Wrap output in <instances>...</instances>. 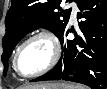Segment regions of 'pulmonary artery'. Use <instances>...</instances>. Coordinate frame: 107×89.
I'll use <instances>...</instances> for the list:
<instances>
[{
	"label": "pulmonary artery",
	"mask_w": 107,
	"mask_h": 89,
	"mask_svg": "<svg viewBox=\"0 0 107 89\" xmlns=\"http://www.w3.org/2000/svg\"><path fill=\"white\" fill-rule=\"evenodd\" d=\"M71 7H72L71 19L75 20L76 19V15H77V6H76L75 3H71Z\"/></svg>",
	"instance_id": "e3ab8cb5"
}]
</instances>
